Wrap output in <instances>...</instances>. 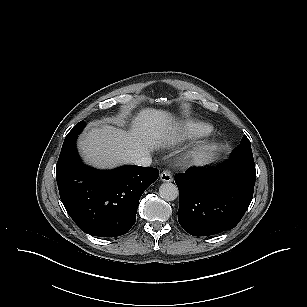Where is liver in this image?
I'll list each match as a JSON object with an SVG mask.
<instances>
[{"instance_id": "6515ba94", "label": "liver", "mask_w": 307, "mask_h": 307, "mask_svg": "<svg viewBox=\"0 0 307 307\" xmlns=\"http://www.w3.org/2000/svg\"><path fill=\"white\" fill-rule=\"evenodd\" d=\"M130 125L127 131L107 124L90 128L78 141L84 160L97 168H113L150 156L178 139L177 122L163 110L142 109Z\"/></svg>"}]
</instances>
